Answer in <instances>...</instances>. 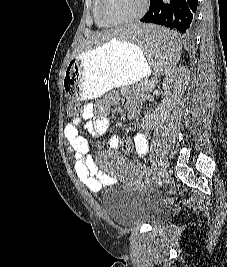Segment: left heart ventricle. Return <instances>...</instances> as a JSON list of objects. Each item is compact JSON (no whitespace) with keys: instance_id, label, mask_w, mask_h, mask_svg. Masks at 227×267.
Wrapping results in <instances>:
<instances>
[{"instance_id":"b2bd125f","label":"left heart ventricle","mask_w":227,"mask_h":267,"mask_svg":"<svg viewBox=\"0 0 227 267\" xmlns=\"http://www.w3.org/2000/svg\"><path fill=\"white\" fill-rule=\"evenodd\" d=\"M143 0H106L105 12L113 20L127 19L139 12Z\"/></svg>"}]
</instances>
